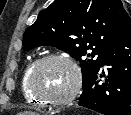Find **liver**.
I'll list each match as a JSON object with an SVG mask.
<instances>
[{"instance_id":"1","label":"liver","mask_w":131,"mask_h":115,"mask_svg":"<svg viewBox=\"0 0 131 115\" xmlns=\"http://www.w3.org/2000/svg\"><path fill=\"white\" fill-rule=\"evenodd\" d=\"M19 115H37V114L34 113V112H28V111H26V112L20 113Z\"/></svg>"}]
</instances>
